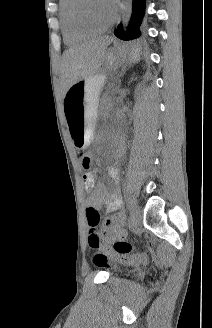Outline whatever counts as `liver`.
I'll return each instance as SVG.
<instances>
[{"label":"liver","instance_id":"obj_1","mask_svg":"<svg viewBox=\"0 0 212 328\" xmlns=\"http://www.w3.org/2000/svg\"><path fill=\"white\" fill-rule=\"evenodd\" d=\"M111 40L101 37L83 45L70 47L62 59V88L64 94L76 82L101 74L106 48Z\"/></svg>","mask_w":212,"mask_h":328}]
</instances>
